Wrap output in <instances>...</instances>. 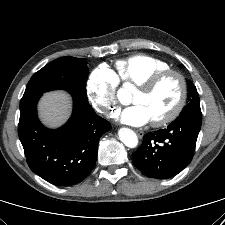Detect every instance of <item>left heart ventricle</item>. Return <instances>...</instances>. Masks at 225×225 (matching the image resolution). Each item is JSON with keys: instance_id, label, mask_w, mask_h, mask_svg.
I'll return each mask as SVG.
<instances>
[{"instance_id": "left-heart-ventricle-1", "label": "left heart ventricle", "mask_w": 225, "mask_h": 225, "mask_svg": "<svg viewBox=\"0 0 225 225\" xmlns=\"http://www.w3.org/2000/svg\"><path fill=\"white\" fill-rule=\"evenodd\" d=\"M179 96V83L173 76L164 79L153 91L136 89L132 103L142 105L150 120H156L167 114L176 104Z\"/></svg>"}]
</instances>
